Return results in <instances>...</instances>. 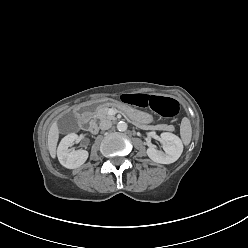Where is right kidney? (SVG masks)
<instances>
[{"label": "right kidney", "instance_id": "1", "mask_svg": "<svg viewBox=\"0 0 248 248\" xmlns=\"http://www.w3.org/2000/svg\"><path fill=\"white\" fill-rule=\"evenodd\" d=\"M79 141V137L75 133L65 136L57 149L58 160L65 168L75 169L83 165L89 153L86 150H72L70 149L75 143Z\"/></svg>", "mask_w": 248, "mask_h": 248}]
</instances>
